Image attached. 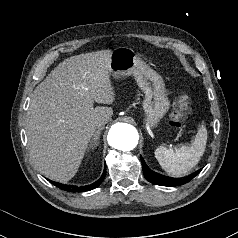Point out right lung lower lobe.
Returning a JSON list of instances; mask_svg holds the SVG:
<instances>
[{
    "mask_svg": "<svg viewBox=\"0 0 238 238\" xmlns=\"http://www.w3.org/2000/svg\"><path fill=\"white\" fill-rule=\"evenodd\" d=\"M105 176H106V168L104 169L103 174H102V176H101V178L99 180H97L96 182H94L91 185L81 186V187L71 186V185H64V184H61V183L53 182L51 180H49V181L53 185L57 186L58 188H60L62 190H65V191H69V192H84V191H89V190H92V189L98 187L103 182Z\"/></svg>",
    "mask_w": 238,
    "mask_h": 238,
    "instance_id": "98d812e1",
    "label": "right lung lower lobe"
}]
</instances>
